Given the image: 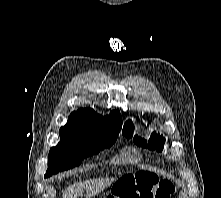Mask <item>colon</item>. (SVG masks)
<instances>
[{"instance_id":"5ec220e1","label":"colon","mask_w":221,"mask_h":198,"mask_svg":"<svg viewBox=\"0 0 221 198\" xmlns=\"http://www.w3.org/2000/svg\"><path fill=\"white\" fill-rule=\"evenodd\" d=\"M173 185L148 172L125 175L114 185L106 198H171Z\"/></svg>"}]
</instances>
